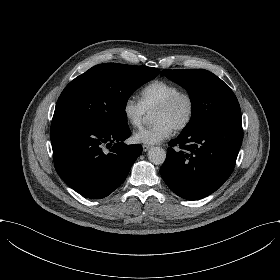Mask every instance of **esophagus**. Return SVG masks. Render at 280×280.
<instances>
[{
  "instance_id": "1",
  "label": "esophagus",
  "mask_w": 280,
  "mask_h": 280,
  "mask_svg": "<svg viewBox=\"0 0 280 280\" xmlns=\"http://www.w3.org/2000/svg\"><path fill=\"white\" fill-rule=\"evenodd\" d=\"M142 147L144 152H147L151 148V146L147 144H143Z\"/></svg>"
}]
</instances>
